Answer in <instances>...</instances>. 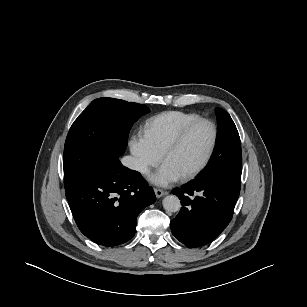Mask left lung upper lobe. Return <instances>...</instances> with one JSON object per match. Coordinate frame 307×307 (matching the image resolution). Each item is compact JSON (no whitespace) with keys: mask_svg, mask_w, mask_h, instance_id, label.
Listing matches in <instances>:
<instances>
[{"mask_svg":"<svg viewBox=\"0 0 307 307\" xmlns=\"http://www.w3.org/2000/svg\"><path fill=\"white\" fill-rule=\"evenodd\" d=\"M219 122L214 155L206 171L199 179L221 178L240 189L242 173L241 142L237 128L230 115L216 109Z\"/></svg>","mask_w":307,"mask_h":307,"instance_id":"obj_1","label":"left lung upper lobe"}]
</instances>
